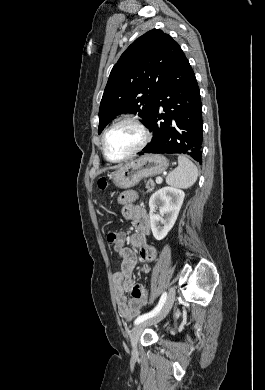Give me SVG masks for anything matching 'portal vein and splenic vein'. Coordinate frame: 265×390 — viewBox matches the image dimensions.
I'll list each match as a JSON object with an SVG mask.
<instances>
[{
  "label": "portal vein and splenic vein",
  "mask_w": 265,
  "mask_h": 390,
  "mask_svg": "<svg viewBox=\"0 0 265 390\" xmlns=\"http://www.w3.org/2000/svg\"><path fill=\"white\" fill-rule=\"evenodd\" d=\"M156 182H157L158 184L162 183V178H161V177H157V178H156Z\"/></svg>",
  "instance_id": "portal-vein-and-splenic-vein-1"
}]
</instances>
